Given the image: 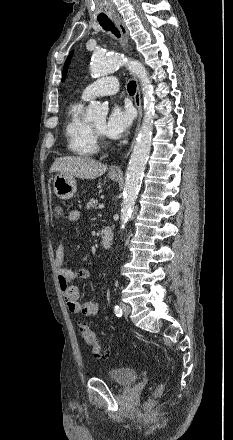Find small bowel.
I'll use <instances>...</instances> for the list:
<instances>
[{
	"label": "small bowel",
	"instance_id": "c3829d8e",
	"mask_svg": "<svg viewBox=\"0 0 233 440\" xmlns=\"http://www.w3.org/2000/svg\"><path fill=\"white\" fill-rule=\"evenodd\" d=\"M81 213L72 210L68 213L67 219L76 222L80 219ZM65 247L62 243L58 244L55 250V267L58 275L59 285L66 301L69 311L73 314H83L94 317L99 314L100 305L96 301L81 302L78 289L71 283L79 279H88L90 271L88 269H69L64 265Z\"/></svg>",
	"mask_w": 233,
	"mask_h": 440
}]
</instances>
